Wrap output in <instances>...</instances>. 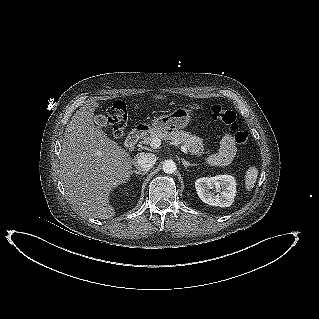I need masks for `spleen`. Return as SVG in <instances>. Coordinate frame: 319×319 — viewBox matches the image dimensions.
I'll use <instances>...</instances> for the list:
<instances>
[{"label": "spleen", "instance_id": "1", "mask_svg": "<svg viewBox=\"0 0 319 319\" xmlns=\"http://www.w3.org/2000/svg\"><path fill=\"white\" fill-rule=\"evenodd\" d=\"M257 176V168L254 166L249 167L245 175V188L247 191H250L255 186Z\"/></svg>", "mask_w": 319, "mask_h": 319}]
</instances>
